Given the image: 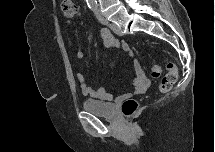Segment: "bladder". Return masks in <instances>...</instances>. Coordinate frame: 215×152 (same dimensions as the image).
<instances>
[{
	"label": "bladder",
	"mask_w": 215,
	"mask_h": 152,
	"mask_svg": "<svg viewBox=\"0 0 215 152\" xmlns=\"http://www.w3.org/2000/svg\"><path fill=\"white\" fill-rule=\"evenodd\" d=\"M82 107L85 111L102 117L112 118L116 115V106L110 102L85 99L82 102Z\"/></svg>",
	"instance_id": "31cf9c89"
}]
</instances>
